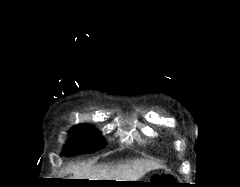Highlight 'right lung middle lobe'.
Listing matches in <instances>:
<instances>
[{
    "mask_svg": "<svg viewBox=\"0 0 240 187\" xmlns=\"http://www.w3.org/2000/svg\"><path fill=\"white\" fill-rule=\"evenodd\" d=\"M71 140L66 143L64 153L74 156L92 153L104 147V142L98 133L89 125L81 124L70 131Z\"/></svg>",
    "mask_w": 240,
    "mask_h": 187,
    "instance_id": "1",
    "label": "right lung middle lobe"
}]
</instances>
